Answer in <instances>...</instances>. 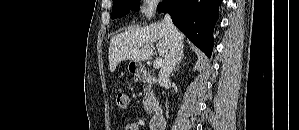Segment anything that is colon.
Returning a JSON list of instances; mask_svg holds the SVG:
<instances>
[{"instance_id":"colon-1","label":"colon","mask_w":299,"mask_h":130,"mask_svg":"<svg viewBox=\"0 0 299 130\" xmlns=\"http://www.w3.org/2000/svg\"><path fill=\"white\" fill-rule=\"evenodd\" d=\"M128 96L124 92H119L116 96V104L119 108H126L128 106Z\"/></svg>"}]
</instances>
